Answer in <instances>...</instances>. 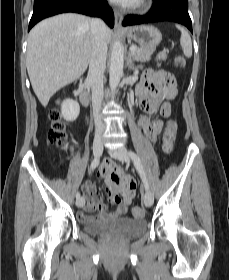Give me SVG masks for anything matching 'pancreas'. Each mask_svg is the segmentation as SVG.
Segmentation results:
<instances>
[{"instance_id":"obj_1","label":"pancreas","mask_w":229,"mask_h":280,"mask_svg":"<svg viewBox=\"0 0 229 280\" xmlns=\"http://www.w3.org/2000/svg\"><path fill=\"white\" fill-rule=\"evenodd\" d=\"M137 48V47H136ZM153 49H145V48H137V51L132 53V57L134 61L146 62L150 60ZM167 59V51L164 50L158 53L156 60H166Z\"/></svg>"}]
</instances>
